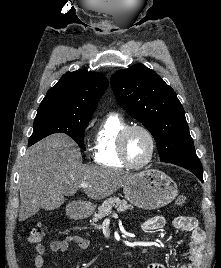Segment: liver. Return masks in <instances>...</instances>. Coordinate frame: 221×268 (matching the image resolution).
Instances as JSON below:
<instances>
[{
	"instance_id": "obj_1",
	"label": "liver",
	"mask_w": 221,
	"mask_h": 268,
	"mask_svg": "<svg viewBox=\"0 0 221 268\" xmlns=\"http://www.w3.org/2000/svg\"><path fill=\"white\" fill-rule=\"evenodd\" d=\"M133 174L106 167L82 164L81 153L66 135L54 134L30 147L19 171V221L35 215L41 208L50 209L76 194L81 183L90 199L109 197Z\"/></svg>"
}]
</instances>
